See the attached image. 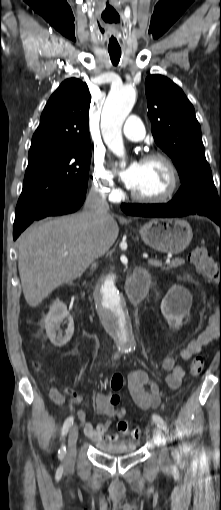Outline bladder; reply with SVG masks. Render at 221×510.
Returning <instances> with one entry per match:
<instances>
[{"instance_id": "bladder-1", "label": "bladder", "mask_w": 221, "mask_h": 510, "mask_svg": "<svg viewBox=\"0 0 221 510\" xmlns=\"http://www.w3.org/2000/svg\"><path fill=\"white\" fill-rule=\"evenodd\" d=\"M96 447L101 452L109 455H123L135 451L137 444L131 440H123L114 443H96Z\"/></svg>"}]
</instances>
